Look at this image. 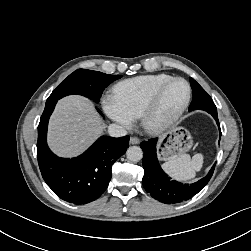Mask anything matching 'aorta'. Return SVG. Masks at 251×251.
I'll use <instances>...</instances> for the list:
<instances>
[{"label":"aorta","mask_w":251,"mask_h":251,"mask_svg":"<svg viewBox=\"0 0 251 251\" xmlns=\"http://www.w3.org/2000/svg\"><path fill=\"white\" fill-rule=\"evenodd\" d=\"M126 155L128 160L132 162H138L143 157V151L138 146H131L127 149Z\"/></svg>","instance_id":"762f6f07"}]
</instances>
